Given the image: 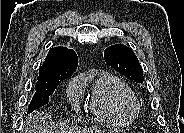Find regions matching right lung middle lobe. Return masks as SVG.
Returning <instances> with one entry per match:
<instances>
[{
  "label": "right lung middle lobe",
  "instance_id": "1",
  "mask_svg": "<svg viewBox=\"0 0 184 133\" xmlns=\"http://www.w3.org/2000/svg\"><path fill=\"white\" fill-rule=\"evenodd\" d=\"M62 80H55L45 87H36V93L34 94L31 103L28 107V113L34 111L37 108L44 106L49 101V96L54 92L56 87Z\"/></svg>",
  "mask_w": 184,
  "mask_h": 133
}]
</instances>
